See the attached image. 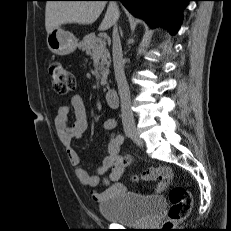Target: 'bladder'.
Returning a JSON list of instances; mask_svg holds the SVG:
<instances>
[{"label":"bladder","mask_w":231,"mask_h":231,"mask_svg":"<svg viewBox=\"0 0 231 231\" xmlns=\"http://www.w3.org/2000/svg\"><path fill=\"white\" fill-rule=\"evenodd\" d=\"M165 207L166 202L161 196L123 194L101 202L99 212L112 223L140 226L155 220Z\"/></svg>","instance_id":"1"}]
</instances>
